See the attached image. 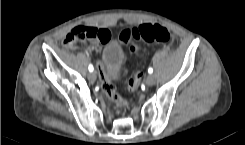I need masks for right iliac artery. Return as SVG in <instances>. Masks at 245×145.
I'll use <instances>...</instances> for the list:
<instances>
[{
	"label": "right iliac artery",
	"instance_id": "82829eb1",
	"mask_svg": "<svg viewBox=\"0 0 245 145\" xmlns=\"http://www.w3.org/2000/svg\"><path fill=\"white\" fill-rule=\"evenodd\" d=\"M89 71L92 72L94 70L93 66L90 64L88 67Z\"/></svg>",
	"mask_w": 245,
	"mask_h": 145
}]
</instances>
